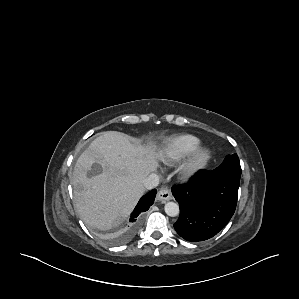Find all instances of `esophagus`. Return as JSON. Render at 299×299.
Segmentation results:
<instances>
[{
  "label": "esophagus",
  "mask_w": 299,
  "mask_h": 299,
  "mask_svg": "<svg viewBox=\"0 0 299 299\" xmlns=\"http://www.w3.org/2000/svg\"><path fill=\"white\" fill-rule=\"evenodd\" d=\"M172 199L171 191L168 188H161L156 196V200L160 202H165Z\"/></svg>",
  "instance_id": "esophagus-1"
}]
</instances>
